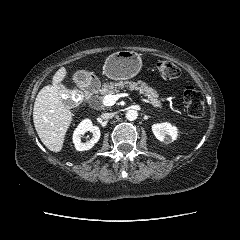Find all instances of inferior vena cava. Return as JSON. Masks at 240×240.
<instances>
[{"label": "inferior vena cava", "instance_id": "602c4592", "mask_svg": "<svg viewBox=\"0 0 240 240\" xmlns=\"http://www.w3.org/2000/svg\"><path fill=\"white\" fill-rule=\"evenodd\" d=\"M101 117H102V119H111V118H113L114 117V113H103L102 115H101Z\"/></svg>", "mask_w": 240, "mask_h": 240}]
</instances>
